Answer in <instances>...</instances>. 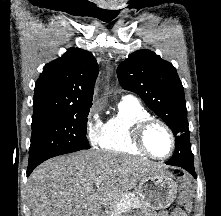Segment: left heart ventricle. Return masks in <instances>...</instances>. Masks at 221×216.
<instances>
[{"mask_svg":"<svg viewBox=\"0 0 221 216\" xmlns=\"http://www.w3.org/2000/svg\"><path fill=\"white\" fill-rule=\"evenodd\" d=\"M146 143L153 153L160 156L168 154L171 149L170 138L160 126H154L148 131Z\"/></svg>","mask_w":221,"mask_h":216,"instance_id":"left-heart-ventricle-1","label":"left heart ventricle"}]
</instances>
